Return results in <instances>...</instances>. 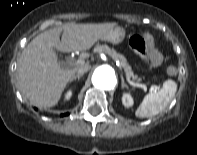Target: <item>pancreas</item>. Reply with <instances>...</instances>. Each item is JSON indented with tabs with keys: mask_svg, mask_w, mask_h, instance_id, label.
Instances as JSON below:
<instances>
[{
	"mask_svg": "<svg viewBox=\"0 0 197 155\" xmlns=\"http://www.w3.org/2000/svg\"><path fill=\"white\" fill-rule=\"evenodd\" d=\"M96 52H104L106 54H108L112 59L114 60H119L120 61V65L121 67L124 69V72L126 74V76L129 78V79H132V80H137L139 81L140 79L138 78V76L136 74H134V72L132 71V68L131 66L128 64L126 58L117 53L114 49H111L109 46L107 45H98L95 47L94 49Z\"/></svg>",
	"mask_w": 197,
	"mask_h": 155,
	"instance_id": "cf45deb5",
	"label": "pancreas"
}]
</instances>
